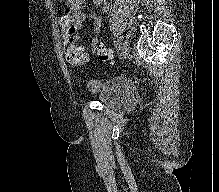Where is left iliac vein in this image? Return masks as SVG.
Wrapping results in <instances>:
<instances>
[{
	"instance_id": "1",
	"label": "left iliac vein",
	"mask_w": 219,
	"mask_h": 192,
	"mask_svg": "<svg viewBox=\"0 0 219 192\" xmlns=\"http://www.w3.org/2000/svg\"><path fill=\"white\" fill-rule=\"evenodd\" d=\"M129 52H130V44L126 40L122 45V48H121V51H120V57L121 58H126L129 55ZM90 87H91V90L93 92H96L99 89V85L97 83H91Z\"/></svg>"
}]
</instances>
